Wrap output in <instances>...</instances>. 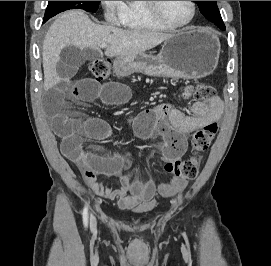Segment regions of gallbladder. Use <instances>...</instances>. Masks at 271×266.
Segmentation results:
<instances>
[{"label": "gallbladder", "instance_id": "1", "mask_svg": "<svg viewBox=\"0 0 271 266\" xmlns=\"http://www.w3.org/2000/svg\"><path fill=\"white\" fill-rule=\"evenodd\" d=\"M99 57L100 53L95 50L85 49L81 51L78 47L69 45L61 51L56 70L60 76L69 79L77 73L79 67L86 60H94Z\"/></svg>", "mask_w": 271, "mask_h": 266}]
</instances>
